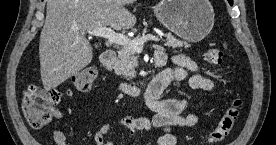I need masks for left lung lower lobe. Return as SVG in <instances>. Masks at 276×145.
Listing matches in <instances>:
<instances>
[{
    "label": "left lung lower lobe",
    "mask_w": 276,
    "mask_h": 145,
    "mask_svg": "<svg viewBox=\"0 0 276 145\" xmlns=\"http://www.w3.org/2000/svg\"><path fill=\"white\" fill-rule=\"evenodd\" d=\"M230 5H233V0H228Z\"/></svg>",
    "instance_id": "1"
}]
</instances>
